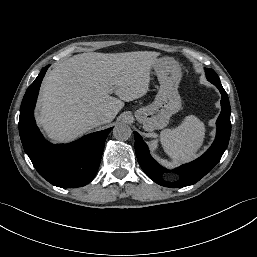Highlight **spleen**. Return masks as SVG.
I'll return each instance as SVG.
<instances>
[{
    "label": "spleen",
    "instance_id": "1",
    "mask_svg": "<svg viewBox=\"0 0 257 257\" xmlns=\"http://www.w3.org/2000/svg\"><path fill=\"white\" fill-rule=\"evenodd\" d=\"M205 124L194 115L187 116L181 125L161 133V144L166 154L177 163L191 161L203 145Z\"/></svg>",
    "mask_w": 257,
    "mask_h": 257
}]
</instances>
